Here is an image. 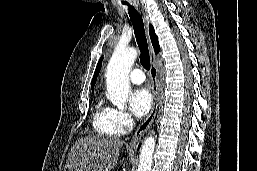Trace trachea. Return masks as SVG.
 <instances>
[{
  "instance_id": "obj_1",
  "label": "trachea",
  "mask_w": 257,
  "mask_h": 171,
  "mask_svg": "<svg viewBox=\"0 0 257 171\" xmlns=\"http://www.w3.org/2000/svg\"><path fill=\"white\" fill-rule=\"evenodd\" d=\"M125 5L128 6V13L133 24L136 41L140 50V62L146 70H149L150 57L142 17L133 6L129 4Z\"/></svg>"
}]
</instances>
